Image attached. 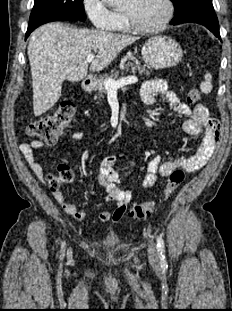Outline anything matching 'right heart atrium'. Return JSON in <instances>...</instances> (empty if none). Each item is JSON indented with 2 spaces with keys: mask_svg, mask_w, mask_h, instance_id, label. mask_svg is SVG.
I'll use <instances>...</instances> for the list:
<instances>
[{
  "mask_svg": "<svg viewBox=\"0 0 232 311\" xmlns=\"http://www.w3.org/2000/svg\"><path fill=\"white\" fill-rule=\"evenodd\" d=\"M82 5L94 29L99 31L113 30L118 15L108 7L105 0H82Z\"/></svg>",
  "mask_w": 232,
  "mask_h": 311,
  "instance_id": "1",
  "label": "right heart atrium"
}]
</instances>
